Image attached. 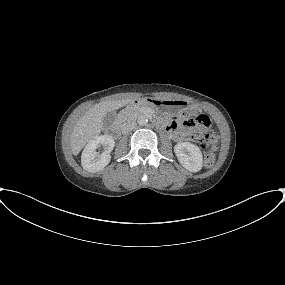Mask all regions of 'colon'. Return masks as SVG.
Listing matches in <instances>:
<instances>
[{"label":"colon","mask_w":285,"mask_h":285,"mask_svg":"<svg viewBox=\"0 0 285 285\" xmlns=\"http://www.w3.org/2000/svg\"><path fill=\"white\" fill-rule=\"evenodd\" d=\"M182 122L190 130V137L199 142L205 150L204 165L210 167L214 164L217 152L216 136L207 133L210 126V118L206 114L185 113Z\"/></svg>","instance_id":"1"}]
</instances>
